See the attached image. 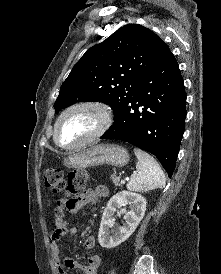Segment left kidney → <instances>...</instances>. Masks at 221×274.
<instances>
[{
	"label": "left kidney",
	"instance_id": "left-kidney-1",
	"mask_svg": "<svg viewBox=\"0 0 221 274\" xmlns=\"http://www.w3.org/2000/svg\"><path fill=\"white\" fill-rule=\"evenodd\" d=\"M126 205L130 206V211L126 210ZM117 209H120V214H124L125 223L123 226L119 227L114 235L110 236L109 228H111L115 223L114 213ZM145 210L146 199L143 196L129 191H121L115 194L108 201L102 215L98 234L100 245L103 248L110 249L127 240L143 219Z\"/></svg>",
	"mask_w": 221,
	"mask_h": 274
}]
</instances>
